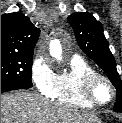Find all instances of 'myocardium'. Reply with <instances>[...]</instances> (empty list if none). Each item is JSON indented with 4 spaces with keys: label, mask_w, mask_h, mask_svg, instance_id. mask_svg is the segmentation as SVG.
<instances>
[{
    "label": "myocardium",
    "mask_w": 122,
    "mask_h": 123,
    "mask_svg": "<svg viewBox=\"0 0 122 123\" xmlns=\"http://www.w3.org/2000/svg\"><path fill=\"white\" fill-rule=\"evenodd\" d=\"M100 81L105 82L111 91L110 98L106 101H100L96 98L94 94V88L96 84ZM80 95L81 97L94 106H103L110 103L115 96V87L110 79L98 72L90 73L86 75L80 84Z\"/></svg>",
    "instance_id": "f54148a6"
}]
</instances>
